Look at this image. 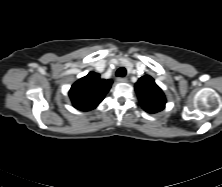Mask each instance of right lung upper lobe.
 Here are the masks:
<instances>
[{
  "mask_svg": "<svg viewBox=\"0 0 222 187\" xmlns=\"http://www.w3.org/2000/svg\"><path fill=\"white\" fill-rule=\"evenodd\" d=\"M111 85V80L101 79L98 73L90 72L72 85L69 96L76 109L89 111L104 99Z\"/></svg>",
  "mask_w": 222,
  "mask_h": 187,
  "instance_id": "1",
  "label": "right lung upper lobe"
}]
</instances>
